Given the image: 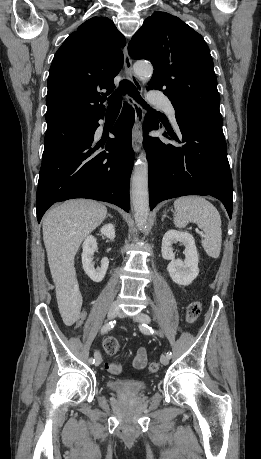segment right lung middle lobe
Returning <instances> with one entry per match:
<instances>
[{
  "label": "right lung middle lobe",
  "mask_w": 261,
  "mask_h": 459,
  "mask_svg": "<svg viewBox=\"0 0 261 459\" xmlns=\"http://www.w3.org/2000/svg\"><path fill=\"white\" fill-rule=\"evenodd\" d=\"M94 121L66 120L48 126L44 138L43 158L91 135Z\"/></svg>",
  "instance_id": "dd1d6c3e"
}]
</instances>
